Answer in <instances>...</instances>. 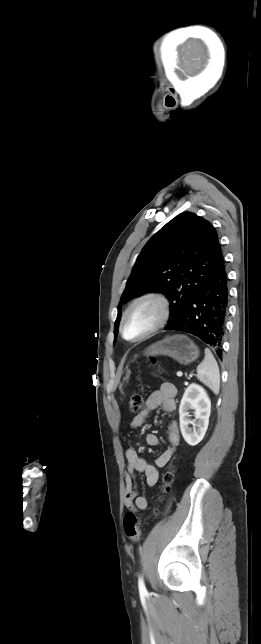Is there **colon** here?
I'll use <instances>...</instances> for the list:
<instances>
[{"instance_id": "1", "label": "colon", "mask_w": 261, "mask_h": 644, "mask_svg": "<svg viewBox=\"0 0 261 644\" xmlns=\"http://www.w3.org/2000/svg\"><path fill=\"white\" fill-rule=\"evenodd\" d=\"M153 363H156L155 359H152ZM144 407V394L143 392L135 393L129 402V409L133 413H137L142 410ZM174 470L170 468L167 470L162 477L161 492L165 493L169 490L170 485L173 481ZM159 510L157 507H154L151 511V515H158ZM141 518L137 516L132 511L127 512L123 518L124 532L128 538L133 541H139L141 537L140 531Z\"/></svg>"}]
</instances>
